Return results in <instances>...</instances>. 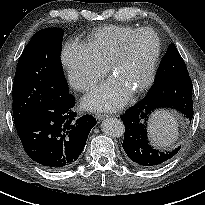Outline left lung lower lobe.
<instances>
[{
	"instance_id": "0a47b994",
	"label": "left lung lower lobe",
	"mask_w": 205,
	"mask_h": 205,
	"mask_svg": "<svg viewBox=\"0 0 205 205\" xmlns=\"http://www.w3.org/2000/svg\"><path fill=\"white\" fill-rule=\"evenodd\" d=\"M192 89L189 75L155 83L141 101L120 116L125 125L122 146L132 163L142 168H154L177 154L180 147L172 151L154 149L148 141L147 124L151 114L161 109H175L191 120Z\"/></svg>"
}]
</instances>
